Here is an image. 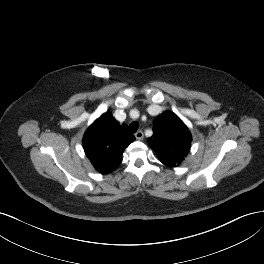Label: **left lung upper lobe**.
Segmentation results:
<instances>
[{"instance_id":"obj_1","label":"left lung upper lobe","mask_w":264,"mask_h":264,"mask_svg":"<svg viewBox=\"0 0 264 264\" xmlns=\"http://www.w3.org/2000/svg\"><path fill=\"white\" fill-rule=\"evenodd\" d=\"M153 136L148 143L160 161L169 167L181 164L191 146V133L173 112L166 111L154 120Z\"/></svg>"}]
</instances>
